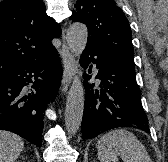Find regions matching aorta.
<instances>
[{"mask_svg": "<svg viewBox=\"0 0 168 162\" xmlns=\"http://www.w3.org/2000/svg\"><path fill=\"white\" fill-rule=\"evenodd\" d=\"M88 38L87 27L82 23H74L67 30V43L76 55L82 54ZM84 111V88L80 77L76 76L68 92L65 108V126L69 133H75L82 122Z\"/></svg>", "mask_w": 168, "mask_h": 162, "instance_id": "762f6f07", "label": "aorta"}]
</instances>
